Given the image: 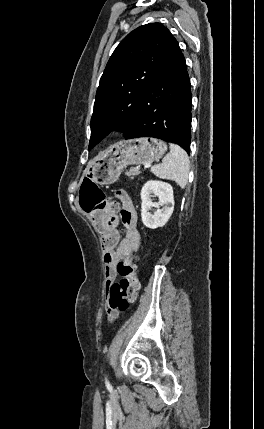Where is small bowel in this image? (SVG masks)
Segmentation results:
<instances>
[{
    "label": "small bowel",
    "mask_w": 264,
    "mask_h": 429,
    "mask_svg": "<svg viewBox=\"0 0 264 429\" xmlns=\"http://www.w3.org/2000/svg\"><path fill=\"white\" fill-rule=\"evenodd\" d=\"M120 204L119 219L123 223V236L116 228L118 218L101 212L89 213L90 219L102 233L101 245L105 262V277L108 284L116 278V264L122 256L136 252L140 244V235L137 230V212L130 195L125 190H117L114 195ZM109 313L111 320L117 313Z\"/></svg>",
    "instance_id": "c3829d8e"
}]
</instances>
